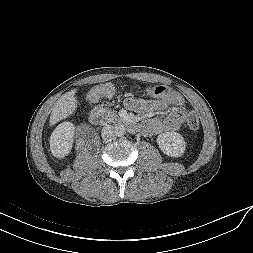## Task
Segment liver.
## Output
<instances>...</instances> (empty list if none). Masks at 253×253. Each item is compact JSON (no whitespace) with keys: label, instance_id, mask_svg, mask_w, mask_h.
<instances>
[{"label":"liver","instance_id":"1","mask_svg":"<svg viewBox=\"0 0 253 253\" xmlns=\"http://www.w3.org/2000/svg\"><path fill=\"white\" fill-rule=\"evenodd\" d=\"M76 89L66 92L63 94L55 106L52 109L50 115V126L55 125L57 122L67 118L69 115L73 114L77 107V99L75 97Z\"/></svg>","mask_w":253,"mask_h":253}]
</instances>
